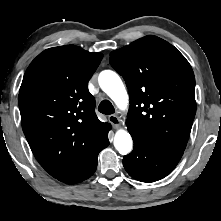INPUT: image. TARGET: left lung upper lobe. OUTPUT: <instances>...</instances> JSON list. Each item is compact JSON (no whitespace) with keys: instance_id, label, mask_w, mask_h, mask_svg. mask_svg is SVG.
Returning <instances> with one entry per match:
<instances>
[{"instance_id":"obj_1","label":"left lung upper lobe","mask_w":221,"mask_h":221,"mask_svg":"<svg viewBox=\"0 0 221 221\" xmlns=\"http://www.w3.org/2000/svg\"><path fill=\"white\" fill-rule=\"evenodd\" d=\"M109 62L128 88L127 127L153 145L184 152L196 112L195 78L185 57L146 36L112 51Z\"/></svg>"}]
</instances>
